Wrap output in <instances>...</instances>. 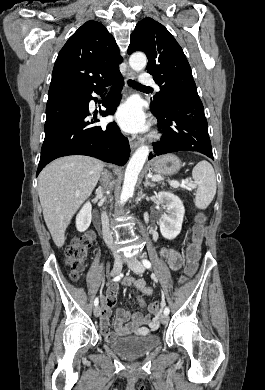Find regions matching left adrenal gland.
I'll use <instances>...</instances> for the list:
<instances>
[{
  "label": "left adrenal gland",
  "mask_w": 265,
  "mask_h": 390,
  "mask_svg": "<svg viewBox=\"0 0 265 390\" xmlns=\"http://www.w3.org/2000/svg\"><path fill=\"white\" fill-rule=\"evenodd\" d=\"M148 186L153 187L155 186V184L149 180L148 176H145L144 187H148Z\"/></svg>",
  "instance_id": "obj_1"
}]
</instances>
